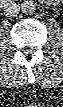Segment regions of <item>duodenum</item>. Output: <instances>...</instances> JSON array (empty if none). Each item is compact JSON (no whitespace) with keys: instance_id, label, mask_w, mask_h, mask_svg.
<instances>
[{"instance_id":"obj_1","label":"duodenum","mask_w":63,"mask_h":107,"mask_svg":"<svg viewBox=\"0 0 63 107\" xmlns=\"http://www.w3.org/2000/svg\"><path fill=\"white\" fill-rule=\"evenodd\" d=\"M3 2H9V0H3Z\"/></svg>"}]
</instances>
